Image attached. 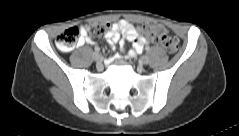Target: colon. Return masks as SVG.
<instances>
[{
    "label": "colon",
    "mask_w": 239,
    "mask_h": 136,
    "mask_svg": "<svg viewBox=\"0 0 239 136\" xmlns=\"http://www.w3.org/2000/svg\"><path fill=\"white\" fill-rule=\"evenodd\" d=\"M110 25L104 22H89L81 27H71L56 39L57 47L62 51L73 49L79 43L82 34H90L94 37H102L109 31ZM143 32L153 42L160 43L167 52L176 53L179 49V40L174 36L167 35L165 28L159 24H145Z\"/></svg>",
    "instance_id": "1"
}]
</instances>
